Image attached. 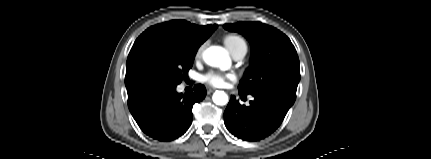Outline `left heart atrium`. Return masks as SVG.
Masks as SVG:
<instances>
[{"instance_id": "1", "label": "left heart atrium", "mask_w": 431, "mask_h": 159, "mask_svg": "<svg viewBox=\"0 0 431 159\" xmlns=\"http://www.w3.org/2000/svg\"><path fill=\"white\" fill-rule=\"evenodd\" d=\"M230 77V74H221L218 72L211 71L203 76V81H205L211 86L221 87L225 85L226 80Z\"/></svg>"}]
</instances>
